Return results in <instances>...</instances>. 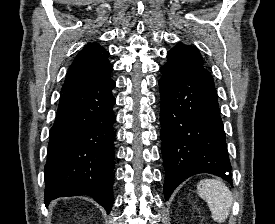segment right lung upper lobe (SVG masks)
<instances>
[{
	"instance_id": "cb5924a9",
	"label": "right lung upper lobe",
	"mask_w": 275,
	"mask_h": 224,
	"mask_svg": "<svg viewBox=\"0 0 275 224\" xmlns=\"http://www.w3.org/2000/svg\"><path fill=\"white\" fill-rule=\"evenodd\" d=\"M109 52L98 43L87 44L72 62L61 92L80 89L110 79Z\"/></svg>"
}]
</instances>
